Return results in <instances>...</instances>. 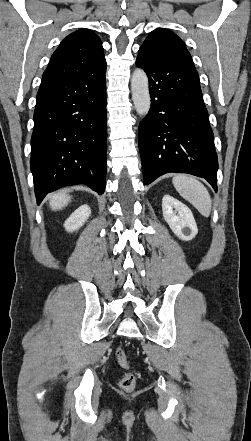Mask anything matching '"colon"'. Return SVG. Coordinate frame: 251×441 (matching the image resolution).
Wrapping results in <instances>:
<instances>
[{"mask_svg":"<svg viewBox=\"0 0 251 441\" xmlns=\"http://www.w3.org/2000/svg\"><path fill=\"white\" fill-rule=\"evenodd\" d=\"M115 356L118 365L124 370H126V372L119 381V386L125 391H131L136 386V382H137L136 375L131 371L129 360L121 348L116 349Z\"/></svg>","mask_w":251,"mask_h":441,"instance_id":"colon-1","label":"colon"}]
</instances>
